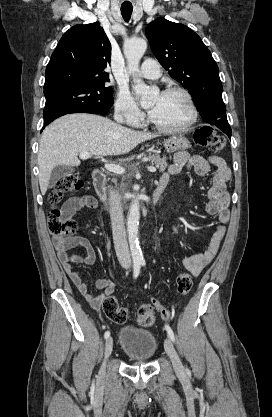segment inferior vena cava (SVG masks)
Listing matches in <instances>:
<instances>
[{"label": "inferior vena cava", "instance_id": "obj_1", "mask_svg": "<svg viewBox=\"0 0 272 417\" xmlns=\"http://www.w3.org/2000/svg\"><path fill=\"white\" fill-rule=\"evenodd\" d=\"M114 119L117 122L123 120L122 115L119 113H115ZM109 206L116 255L120 265L124 269H129L131 267V257L126 239L121 197L112 188L109 190Z\"/></svg>", "mask_w": 272, "mask_h": 417}]
</instances>
